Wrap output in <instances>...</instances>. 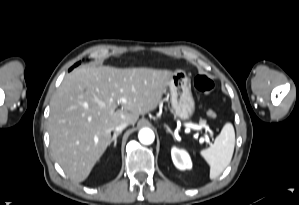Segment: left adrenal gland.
<instances>
[{
	"mask_svg": "<svg viewBox=\"0 0 299 205\" xmlns=\"http://www.w3.org/2000/svg\"><path fill=\"white\" fill-rule=\"evenodd\" d=\"M165 127L167 128V132H169L175 138L174 133L171 131L169 126L165 125Z\"/></svg>",
	"mask_w": 299,
	"mask_h": 205,
	"instance_id": "left-adrenal-gland-1",
	"label": "left adrenal gland"
}]
</instances>
